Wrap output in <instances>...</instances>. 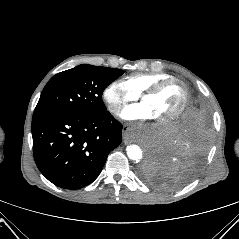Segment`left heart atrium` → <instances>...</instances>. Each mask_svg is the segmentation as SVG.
<instances>
[{
    "label": "left heart atrium",
    "instance_id": "obj_1",
    "mask_svg": "<svg viewBox=\"0 0 239 239\" xmlns=\"http://www.w3.org/2000/svg\"><path fill=\"white\" fill-rule=\"evenodd\" d=\"M121 118L128 121L154 119L148 106L144 102L129 105L121 112Z\"/></svg>",
    "mask_w": 239,
    "mask_h": 239
}]
</instances>
